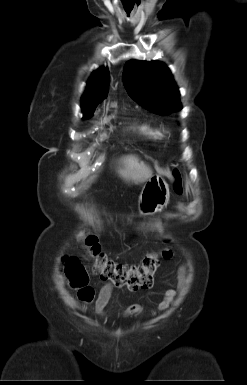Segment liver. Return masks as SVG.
I'll use <instances>...</instances> for the list:
<instances>
[{"label": "liver", "instance_id": "liver-1", "mask_svg": "<svg viewBox=\"0 0 247 385\" xmlns=\"http://www.w3.org/2000/svg\"><path fill=\"white\" fill-rule=\"evenodd\" d=\"M122 163L124 168L120 170V174L127 180L145 182L152 177L151 169L133 155L124 157Z\"/></svg>", "mask_w": 247, "mask_h": 385}]
</instances>
